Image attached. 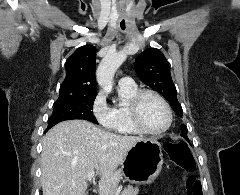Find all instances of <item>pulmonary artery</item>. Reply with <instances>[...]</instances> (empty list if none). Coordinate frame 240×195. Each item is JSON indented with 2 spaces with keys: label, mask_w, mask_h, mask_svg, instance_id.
<instances>
[{
  "label": "pulmonary artery",
  "mask_w": 240,
  "mask_h": 195,
  "mask_svg": "<svg viewBox=\"0 0 240 195\" xmlns=\"http://www.w3.org/2000/svg\"><path fill=\"white\" fill-rule=\"evenodd\" d=\"M122 83H132V78H129L128 75H125L124 78L121 79Z\"/></svg>",
  "instance_id": "pulmonary-artery-1"
}]
</instances>
